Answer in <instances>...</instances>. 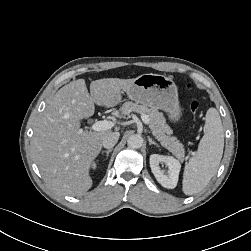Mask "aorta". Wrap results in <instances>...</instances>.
I'll return each instance as SVG.
<instances>
[{"instance_id":"762f6f07","label":"aorta","mask_w":251,"mask_h":251,"mask_svg":"<svg viewBox=\"0 0 251 251\" xmlns=\"http://www.w3.org/2000/svg\"><path fill=\"white\" fill-rule=\"evenodd\" d=\"M127 144L130 148L138 149L143 145V138L139 134L131 135L128 138Z\"/></svg>"}]
</instances>
